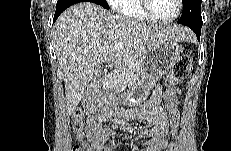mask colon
I'll list each match as a JSON object with an SVG mask.
<instances>
[{
	"mask_svg": "<svg viewBox=\"0 0 231 151\" xmlns=\"http://www.w3.org/2000/svg\"><path fill=\"white\" fill-rule=\"evenodd\" d=\"M193 59L189 55H183L173 65L170 75V88L175 84L184 80L191 72ZM168 123L171 129L174 141L167 146V151H178L175 140L177 139V131L180 125V114L177 108V100L169 93L166 99ZM73 129L78 138L82 137L83 133V113L76 110L72 116ZM74 151H78V147H74Z\"/></svg>",
	"mask_w": 231,
	"mask_h": 151,
	"instance_id": "obj_1",
	"label": "colon"
}]
</instances>
